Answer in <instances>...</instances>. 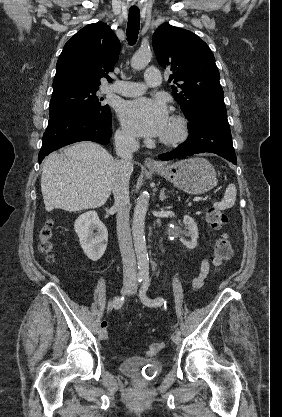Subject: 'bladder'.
Wrapping results in <instances>:
<instances>
[{"label":"bladder","instance_id":"bladder-1","mask_svg":"<svg viewBox=\"0 0 282 417\" xmlns=\"http://www.w3.org/2000/svg\"><path fill=\"white\" fill-rule=\"evenodd\" d=\"M120 371L138 384H147L161 372V364L156 359L129 356L122 359Z\"/></svg>","mask_w":282,"mask_h":417}]
</instances>
